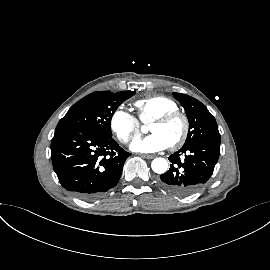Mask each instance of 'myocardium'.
<instances>
[{
    "label": "myocardium",
    "instance_id": "myocardium-1",
    "mask_svg": "<svg viewBox=\"0 0 270 270\" xmlns=\"http://www.w3.org/2000/svg\"><path fill=\"white\" fill-rule=\"evenodd\" d=\"M175 118H180L182 120L183 131H182L181 136L174 143L169 145V148L172 150L180 148L187 140L189 129H190V123H189L188 117L181 111L175 110V111L164 113L152 121V124H165Z\"/></svg>",
    "mask_w": 270,
    "mask_h": 270
}]
</instances>
